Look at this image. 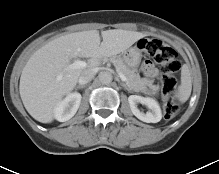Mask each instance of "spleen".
<instances>
[{
    "instance_id": "1",
    "label": "spleen",
    "mask_w": 219,
    "mask_h": 174,
    "mask_svg": "<svg viewBox=\"0 0 219 174\" xmlns=\"http://www.w3.org/2000/svg\"><path fill=\"white\" fill-rule=\"evenodd\" d=\"M192 90L190 71L187 65L182 66L181 70V85L178 89V98L180 102L188 100Z\"/></svg>"
}]
</instances>
